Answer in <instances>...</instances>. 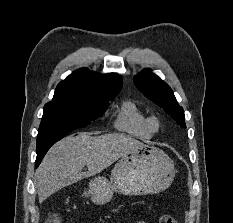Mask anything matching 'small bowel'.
<instances>
[{
	"label": "small bowel",
	"mask_w": 233,
	"mask_h": 223,
	"mask_svg": "<svg viewBox=\"0 0 233 223\" xmlns=\"http://www.w3.org/2000/svg\"><path fill=\"white\" fill-rule=\"evenodd\" d=\"M139 223H145L144 221H139Z\"/></svg>",
	"instance_id": "c3829d8e"
}]
</instances>
